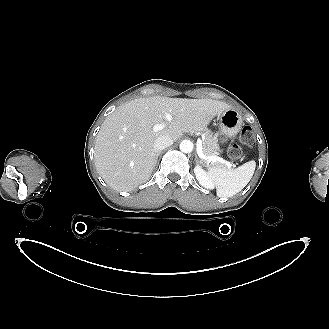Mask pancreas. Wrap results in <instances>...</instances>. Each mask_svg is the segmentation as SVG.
<instances>
[{
  "label": "pancreas",
  "mask_w": 329,
  "mask_h": 329,
  "mask_svg": "<svg viewBox=\"0 0 329 329\" xmlns=\"http://www.w3.org/2000/svg\"><path fill=\"white\" fill-rule=\"evenodd\" d=\"M202 151L206 156H213L218 154L219 147L217 144V136L213 135V133L210 131H206L204 133Z\"/></svg>",
  "instance_id": "pancreas-1"
}]
</instances>
